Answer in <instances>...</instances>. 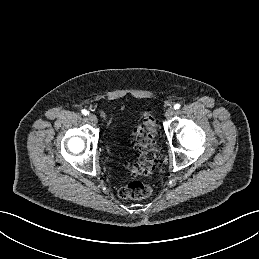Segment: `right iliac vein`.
Segmentation results:
<instances>
[{
  "instance_id": "obj_1",
  "label": "right iliac vein",
  "mask_w": 259,
  "mask_h": 259,
  "mask_svg": "<svg viewBox=\"0 0 259 259\" xmlns=\"http://www.w3.org/2000/svg\"><path fill=\"white\" fill-rule=\"evenodd\" d=\"M88 119L90 120V122L96 124L97 123V117L94 114H90L88 116Z\"/></svg>"
}]
</instances>
